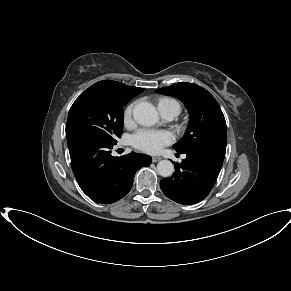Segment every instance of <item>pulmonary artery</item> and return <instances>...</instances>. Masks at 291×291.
I'll return each instance as SVG.
<instances>
[{
  "mask_svg": "<svg viewBox=\"0 0 291 291\" xmlns=\"http://www.w3.org/2000/svg\"><path fill=\"white\" fill-rule=\"evenodd\" d=\"M160 112L166 120H172L177 116L176 111L173 110L172 108H165Z\"/></svg>",
  "mask_w": 291,
  "mask_h": 291,
  "instance_id": "pulmonary-artery-1",
  "label": "pulmonary artery"
}]
</instances>
